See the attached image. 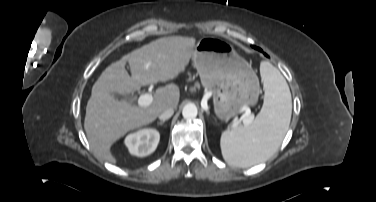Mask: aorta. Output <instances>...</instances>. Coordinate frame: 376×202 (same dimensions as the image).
I'll return each mask as SVG.
<instances>
[{
    "mask_svg": "<svg viewBox=\"0 0 376 202\" xmlns=\"http://www.w3.org/2000/svg\"><path fill=\"white\" fill-rule=\"evenodd\" d=\"M198 113L196 105L189 103L183 107L182 115L185 119H194Z\"/></svg>",
    "mask_w": 376,
    "mask_h": 202,
    "instance_id": "1",
    "label": "aorta"
}]
</instances>
